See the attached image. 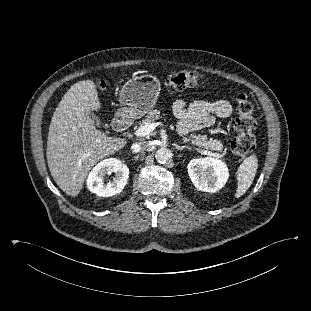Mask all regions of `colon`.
Masks as SVG:
<instances>
[{
  "label": "colon",
  "instance_id": "colon-1",
  "mask_svg": "<svg viewBox=\"0 0 311 311\" xmlns=\"http://www.w3.org/2000/svg\"><path fill=\"white\" fill-rule=\"evenodd\" d=\"M202 82V75L196 71H180L168 75L163 84L165 87L174 90H184L198 85ZM105 82L98 83L100 90H105ZM237 116L232 122L233 129L237 132L232 141L233 151L242 157L250 155L256 147L254 131L257 121L254 117V105L244 93H237L235 96Z\"/></svg>",
  "mask_w": 311,
  "mask_h": 311
}]
</instances>
